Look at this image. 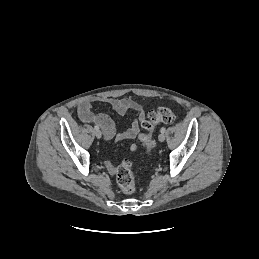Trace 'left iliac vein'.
Returning <instances> with one entry per match:
<instances>
[{"label":"left iliac vein","mask_w":259,"mask_h":259,"mask_svg":"<svg viewBox=\"0 0 259 259\" xmlns=\"http://www.w3.org/2000/svg\"><path fill=\"white\" fill-rule=\"evenodd\" d=\"M158 139L160 142H163L165 140V134L164 133H160L158 136Z\"/></svg>","instance_id":"obj_1"}]
</instances>
